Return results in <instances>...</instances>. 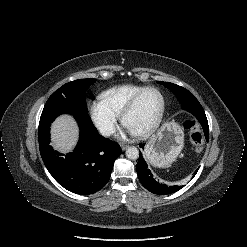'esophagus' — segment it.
Wrapping results in <instances>:
<instances>
[{
	"mask_svg": "<svg viewBox=\"0 0 247 247\" xmlns=\"http://www.w3.org/2000/svg\"><path fill=\"white\" fill-rule=\"evenodd\" d=\"M128 147H129V145H127V144H122V145H121V149H122L123 151L126 150Z\"/></svg>",
	"mask_w": 247,
	"mask_h": 247,
	"instance_id": "obj_1",
	"label": "esophagus"
}]
</instances>
